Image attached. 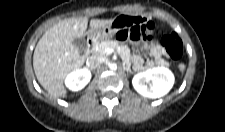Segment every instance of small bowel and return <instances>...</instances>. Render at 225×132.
Segmentation results:
<instances>
[{
	"label": "small bowel",
	"mask_w": 225,
	"mask_h": 132,
	"mask_svg": "<svg viewBox=\"0 0 225 132\" xmlns=\"http://www.w3.org/2000/svg\"><path fill=\"white\" fill-rule=\"evenodd\" d=\"M146 19L141 16H126L121 19L122 27H130L138 24L145 23ZM141 50H149L152 57L151 60H144L140 55H134L132 58L133 66L139 71L147 70L154 66H163L165 64L164 52L161 47L153 43L151 45L142 44L139 46Z\"/></svg>",
	"instance_id": "1"
}]
</instances>
